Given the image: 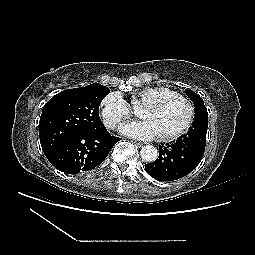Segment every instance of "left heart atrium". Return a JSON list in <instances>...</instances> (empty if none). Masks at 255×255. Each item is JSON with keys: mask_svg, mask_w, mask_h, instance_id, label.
Instances as JSON below:
<instances>
[{"mask_svg": "<svg viewBox=\"0 0 255 255\" xmlns=\"http://www.w3.org/2000/svg\"><path fill=\"white\" fill-rule=\"evenodd\" d=\"M120 130L122 133L139 140H153L160 136L155 122L150 119L126 123L121 126Z\"/></svg>", "mask_w": 255, "mask_h": 255, "instance_id": "obj_1", "label": "left heart atrium"}]
</instances>
